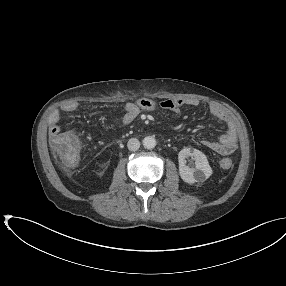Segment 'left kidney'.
<instances>
[{
	"instance_id": "obj_1",
	"label": "left kidney",
	"mask_w": 286,
	"mask_h": 286,
	"mask_svg": "<svg viewBox=\"0 0 286 286\" xmlns=\"http://www.w3.org/2000/svg\"><path fill=\"white\" fill-rule=\"evenodd\" d=\"M188 157H192L195 161V167L186 165V158ZM178 162L180 177L186 183L203 182L212 175V168L206 155L197 149H182L178 154Z\"/></svg>"
}]
</instances>
